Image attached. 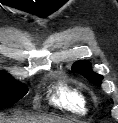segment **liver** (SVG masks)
<instances>
[{"label":"liver","instance_id":"6515ba94","mask_svg":"<svg viewBox=\"0 0 118 123\" xmlns=\"http://www.w3.org/2000/svg\"><path fill=\"white\" fill-rule=\"evenodd\" d=\"M0 123H71V121L45 115L24 116L21 114L12 117H0Z\"/></svg>","mask_w":118,"mask_h":123}]
</instances>
